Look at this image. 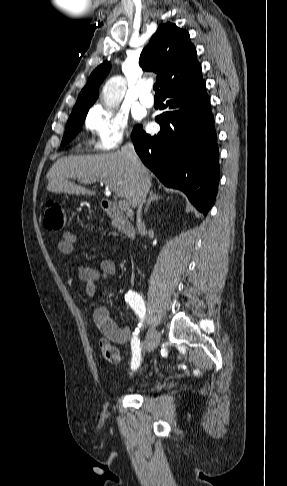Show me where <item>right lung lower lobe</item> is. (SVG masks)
Masks as SVG:
<instances>
[{
	"label": "right lung lower lobe",
	"instance_id": "98d812e1",
	"mask_svg": "<svg viewBox=\"0 0 287 486\" xmlns=\"http://www.w3.org/2000/svg\"><path fill=\"white\" fill-rule=\"evenodd\" d=\"M161 99L165 112L156 117L160 132L151 136L137 125L132 131L135 150L165 186L183 191L206 215L216 198L220 170L205 80L167 90Z\"/></svg>",
	"mask_w": 287,
	"mask_h": 486
}]
</instances>
